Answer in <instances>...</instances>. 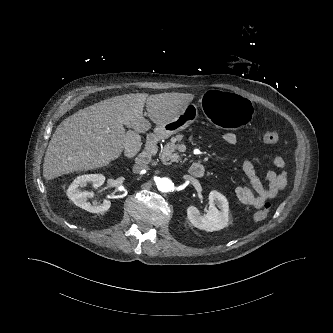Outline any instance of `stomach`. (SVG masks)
<instances>
[{
  "label": "stomach",
  "mask_w": 333,
  "mask_h": 333,
  "mask_svg": "<svg viewBox=\"0 0 333 333\" xmlns=\"http://www.w3.org/2000/svg\"><path fill=\"white\" fill-rule=\"evenodd\" d=\"M202 110L205 116L214 122H223L229 119L235 110V101L232 95L223 89H214L208 92L202 101ZM197 114L193 104L185 108L171 120L157 125L154 133L166 139L186 129L193 122Z\"/></svg>",
  "instance_id": "1"
}]
</instances>
